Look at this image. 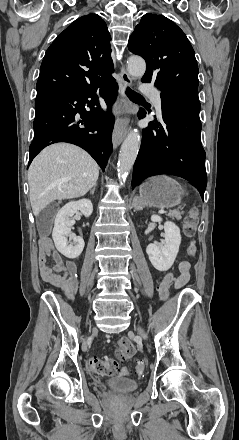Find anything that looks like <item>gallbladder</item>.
Returning a JSON list of instances; mask_svg holds the SVG:
<instances>
[{
    "label": "gallbladder",
    "mask_w": 239,
    "mask_h": 440,
    "mask_svg": "<svg viewBox=\"0 0 239 440\" xmlns=\"http://www.w3.org/2000/svg\"><path fill=\"white\" fill-rule=\"evenodd\" d=\"M37 224L38 228L39 226H42V224H44V226H47V218L45 212H42V214H39V216H37Z\"/></svg>",
    "instance_id": "bac80fb5"
}]
</instances>
